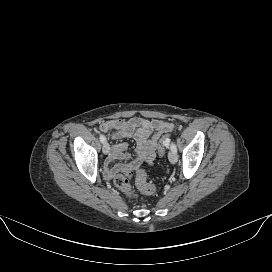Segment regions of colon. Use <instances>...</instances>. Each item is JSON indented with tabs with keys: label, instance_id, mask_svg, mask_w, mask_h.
Instances as JSON below:
<instances>
[{
	"label": "colon",
	"instance_id": "obj_1",
	"mask_svg": "<svg viewBox=\"0 0 272 272\" xmlns=\"http://www.w3.org/2000/svg\"><path fill=\"white\" fill-rule=\"evenodd\" d=\"M169 142V135L164 136L157 148L160 156L165 154ZM135 179L137 188L145 195H150L155 192L153 184L149 183L144 170L140 169L138 165H131L120 171L114 177V185L128 197H134L135 193L132 188L131 180Z\"/></svg>",
	"mask_w": 272,
	"mask_h": 272
}]
</instances>
